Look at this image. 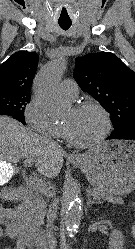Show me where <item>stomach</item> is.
Returning <instances> with one entry per match:
<instances>
[{
  "label": "stomach",
  "instance_id": "0dacf381",
  "mask_svg": "<svg viewBox=\"0 0 135 249\" xmlns=\"http://www.w3.org/2000/svg\"><path fill=\"white\" fill-rule=\"evenodd\" d=\"M90 184L106 194L125 195L135 190V142L113 140L93 146L74 162Z\"/></svg>",
  "mask_w": 135,
  "mask_h": 249
}]
</instances>
